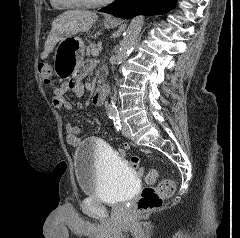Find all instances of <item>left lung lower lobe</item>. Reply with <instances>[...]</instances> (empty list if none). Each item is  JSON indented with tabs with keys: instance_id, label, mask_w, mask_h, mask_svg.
Segmentation results:
<instances>
[{
	"instance_id": "0a47b994",
	"label": "left lung lower lobe",
	"mask_w": 240,
	"mask_h": 238,
	"mask_svg": "<svg viewBox=\"0 0 240 238\" xmlns=\"http://www.w3.org/2000/svg\"><path fill=\"white\" fill-rule=\"evenodd\" d=\"M177 0H115L100 12L120 16L126 19L139 14H162L173 9Z\"/></svg>"
}]
</instances>
